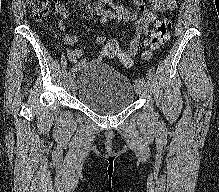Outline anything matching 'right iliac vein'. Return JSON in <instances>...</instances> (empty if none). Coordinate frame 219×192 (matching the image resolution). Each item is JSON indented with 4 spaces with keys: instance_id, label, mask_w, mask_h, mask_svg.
<instances>
[{
    "instance_id": "1",
    "label": "right iliac vein",
    "mask_w": 219,
    "mask_h": 192,
    "mask_svg": "<svg viewBox=\"0 0 219 192\" xmlns=\"http://www.w3.org/2000/svg\"><path fill=\"white\" fill-rule=\"evenodd\" d=\"M74 78H75V76H74V73H71L70 75H69V81H70V84L73 86V83H74Z\"/></svg>"
}]
</instances>
